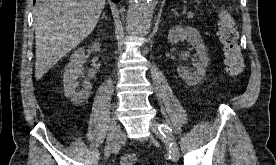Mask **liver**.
I'll return each instance as SVG.
<instances>
[{"instance_id": "obj_1", "label": "liver", "mask_w": 276, "mask_h": 165, "mask_svg": "<svg viewBox=\"0 0 276 165\" xmlns=\"http://www.w3.org/2000/svg\"><path fill=\"white\" fill-rule=\"evenodd\" d=\"M105 0H37L35 77L40 79L96 27Z\"/></svg>"}]
</instances>
